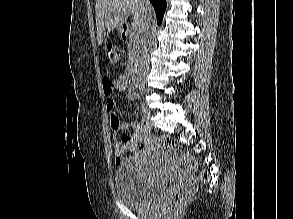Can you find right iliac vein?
<instances>
[{
	"label": "right iliac vein",
	"instance_id": "obj_1",
	"mask_svg": "<svg viewBox=\"0 0 293 219\" xmlns=\"http://www.w3.org/2000/svg\"><path fill=\"white\" fill-rule=\"evenodd\" d=\"M141 114H142V118L149 123L150 119H151V112L150 110L145 107L144 105L141 107Z\"/></svg>",
	"mask_w": 293,
	"mask_h": 219
}]
</instances>
